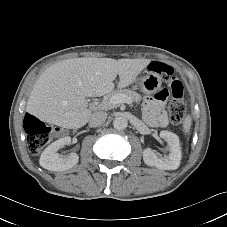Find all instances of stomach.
I'll use <instances>...</instances> for the list:
<instances>
[{"label":"stomach","mask_w":227,"mask_h":227,"mask_svg":"<svg viewBox=\"0 0 227 227\" xmlns=\"http://www.w3.org/2000/svg\"><path fill=\"white\" fill-rule=\"evenodd\" d=\"M161 78L156 72L148 71L145 76H142L133 82V87L140 89L145 94H153L161 88Z\"/></svg>","instance_id":"1"}]
</instances>
